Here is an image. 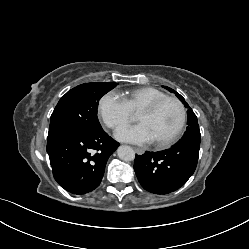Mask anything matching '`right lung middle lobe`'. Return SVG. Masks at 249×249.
<instances>
[{
  "instance_id": "obj_1",
  "label": "right lung middle lobe",
  "mask_w": 249,
  "mask_h": 249,
  "mask_svg": "<svg viewBox=\"0 0 249 249\" xmlns=\"http://www.w3.org/2000/svg\"><path fill=\"white\" fill-rule=\"evenodd\" d=\"M115 86V82H94L68 91L51 115L47 143L72 134L102 130L96 117L97 106L100 98Z\"/></svg>"
}]
</instances>
